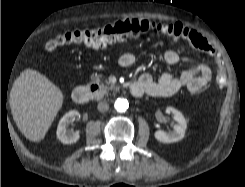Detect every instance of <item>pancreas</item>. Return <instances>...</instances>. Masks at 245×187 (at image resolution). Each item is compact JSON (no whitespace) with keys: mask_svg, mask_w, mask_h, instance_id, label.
<instances>
[{"mask_svg":"<svg viewBox=\"0 0 245 187\" xmlns=\"http://www.w3.org/2000/svg\"><path fill=\"white\" fill-rule=\"evenodd\" d=\"M92 83L99 85L101 92L104 94H108L110 90L117 92L120 89L118 86L108 82L107 80H105V84L102 83L99 76H94L92 78Z\"/></svg>","mask_w":245,"mask_h":187,"instance_id":"1","label":"pancreas"}]
</instances>
